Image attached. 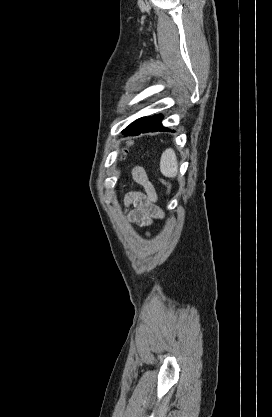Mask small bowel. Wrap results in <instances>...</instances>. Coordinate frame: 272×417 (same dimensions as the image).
<instances>
[{
	"label": "small bowel",
	"instance_id": "obj_1",
	"mask_svg": "<svg viewBox=\"0 0 272 417\" xmlns=\"http://www.w3.org/2000/svg\"><path fill=\"white\" fill-rule=\"evenodd\" d=\"M132 176L134 181L142 186L144 193L134 192L127 196V203L134 206V209L128 211L127 216L138 226L147 227L153 223L154 219L162 216L161 210L155 205L157 194L143 168L135 167ZM146 235L150 234L146 233Z\"/></svg>",
	"mask_w": 272,
	"mask_h": 417
}]
</instances>
